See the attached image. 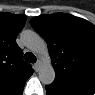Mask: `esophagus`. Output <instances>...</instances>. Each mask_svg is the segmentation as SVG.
Listing matches in <instances>:
<instances>
[{"mask_svg":"<svg viewBox=\"0 0 95 95\" xmlns=\"http://www.w3.org/2000/svg\"><path fill=\"white\" fill-rule=\"evenodd\" d=\"M41 64H42V62H41L40 60H38V61L35 63L34 68H35L36 71H39V69H40V67H41Z\"/></svg>","mask_w":95,"mask_h":95,"instance_id":"1","label":"esophagus"}]
</instances>
